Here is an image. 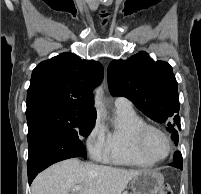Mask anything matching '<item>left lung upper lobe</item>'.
Wrapping results in <instances>:
<instances>
[{
	"label": "left lung upper lobe",
	"instance_id": "left-lung-upper-lobe-1",
	"mask_svg": "<svg viewBox=\"0 0 201 194\" xmlns=\"http://www.w3.org/2000/svg\"><path fill=\"white\" fill-rule=\"evenodd\" d=\"M113 96L129 98L151 119L162 123L178 137L180 130L178 86L172 67L154 61L141 51L127 60H113L107 70Z\"/></svg>",
	"mask_w": 201,
	"mask_h": 194
}]
</instances>
